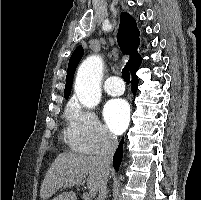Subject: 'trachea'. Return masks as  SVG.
I'll list each match as a JSON object with an SVG mask.
<instances>
[{"label":"trachea","instance_id":"1","mask_svg":"<svg viewBox=\"0 0 201 200\" xmlns=\"http://www.w3.org/2000/svg\"><path fill=\"white\" fill-rule=\"evenodd\" d=\"M122 77L126 81V83H130V72L128 67H124L122 69Z\"/></svg>","mask_w":201,"mask_h":200}]
</instances>
